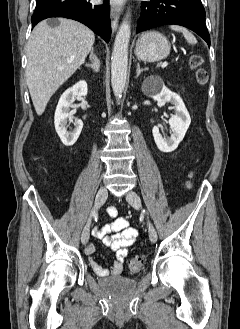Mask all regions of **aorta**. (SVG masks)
<instances>
[{"label":"aorta","instance_id":"1","mask_svg":"<svg viewBox=\"0 0 240 329\" xmlns=\"http://www.w3.org/2000/svg\"><path fill=\"white\" fill-rule=\"evenodd\" d=\"M128 18L129 13L117 32L111 57V85L116 98L121 97L127 79L128 45L131 35Z\"/></svg>","mask_w":240,"mask_h":329}]
</instances>
